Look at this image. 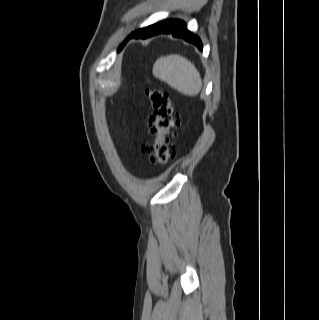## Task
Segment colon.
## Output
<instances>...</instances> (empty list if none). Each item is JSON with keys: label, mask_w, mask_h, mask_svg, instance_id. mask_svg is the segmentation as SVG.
I'll use <instances>...</instances> for the list:
<instances>
[{"label": "colon", "mask_w": 319, "mask_h": 320, "mask_svg": "<svg viewBox=\"0 0 319 320\" xmlns=\"http://www.w3.org/2000/svg\"><path fill=\"white\" fill-rule=\"evenodd\" d=\"M146 96L152 106L149 124L152 140L144 146V153L153 164L165 165L173 155L179 118L168 91L150 87L146 90Z\"/></svg>", "instance_id": "colon-1"}]
</instances>
